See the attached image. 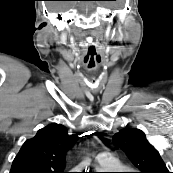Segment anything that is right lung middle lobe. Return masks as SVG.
<instances>
[{
  "label": "right lung middle lobe",
  "instance_id": "obj_1",
  "mask_svg": "<svg viewBox=\"0 0 173 173\" xmlns=\"http://www.w3.org/2000/svg\"><path fill=\"white\" fill-rule=\"evenodd\" d=\"M19 173H28L27 171H19Z\"/></svg>",
  "mask_w": 173,
  "mask_h": 173
}]
</instances>
